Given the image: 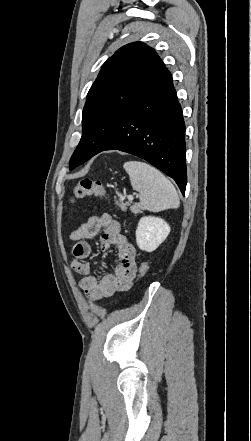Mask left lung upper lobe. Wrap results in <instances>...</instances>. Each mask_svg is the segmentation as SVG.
<instances>
[{
	"label": "left lung upper lobe",
	"instance_id": "5c2ea615",
	"mask_svg": "<svg viewBox=\"0 0 251 441\" xmlns=\"http://www.w3.org/2000/svg\"><path fill=\"white\" fill-rule=\"evenodd\" d=\"M167 71L155 51L142 42L118 49L102 66L90 88L82 114L83 134L70 159V170L87 161L85 137L90 127L115 115H126Z\"/></svg>",
	"mask_w": 251,
	"mask_h": 441
}]
</instances>
